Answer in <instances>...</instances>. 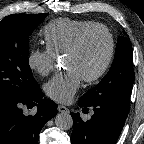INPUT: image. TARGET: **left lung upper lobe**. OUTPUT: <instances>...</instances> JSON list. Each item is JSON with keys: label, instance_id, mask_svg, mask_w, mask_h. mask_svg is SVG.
<instances>
[{"label": "left lung upper lobe", "instance_id": "5c2ea615", "mask_svg": "<svg viewBox=\"0 0 144 144\" xmlns=\"http://www.w3.org/2000/svg\"><path fill=\"white\" fill-rule=\"evenodd\" d=\"M133 82L132 44L128 37L120 36L109 72L98 85L86 92L79 102L85 106H92L107 101L129 109Z\"/></svg>", "mask_w": 144, "mask_h": 144}]
</instances>
